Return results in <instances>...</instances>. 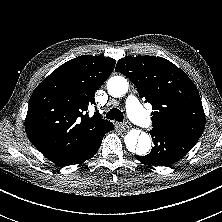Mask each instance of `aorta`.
Listing matches in <instances>:
<instances>
[{
	"label": "aorta",
	"mask_w": 222,
	"mask_h": 222,
	"mask_svg": "<svg viewBox=\"0 0 222 222\" xmlns=\"http://www.w3.org/2000/svg\"><path fill=\"white\" fill-rule=\"evenodd\" d=\"M128 81L121 76L111 77L107 82V89L111 96L121 97L128 91ZM125 145L131 153L139 156L148 154L151 149V138L145 132L130 131L125 136Z\"/></svg>",
	"instance_id": "1"
}]
</instances>
